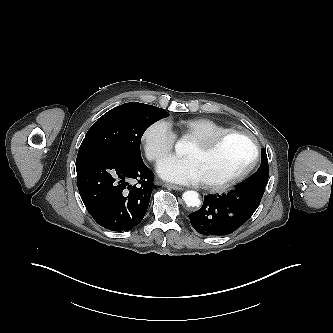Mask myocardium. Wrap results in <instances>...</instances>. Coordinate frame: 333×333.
I'll list each match as a JSON object with an SVG mask.
<instances>
[{"mask_svg": "<svg viewBox=\"0 0 333 333\" xmlns=\"http://www.w3.org/2000/svg\"><path fill=\"white\" fill-rule=\"evenodd\" d=\"M230 137L244 138L251 147L252 151L251 158L247 163V165L242 170H240L238 173H236L235 175L231 176L226 180L220 182H202L203 186L210 191L213 192L225 191L231 188L232 186L236 185L237 183L241 182L250 174V172L255 168L258 162L259 159L258 144L255 138L251 134L244 131L228 130L209 138L195 139L192 142L196 144L203 151H211Z\"/></svg>", "mask_w": 333, "mask_h": 333, "instance_id": "myocardium-1", "label": "myocardium"}]
</instances>
